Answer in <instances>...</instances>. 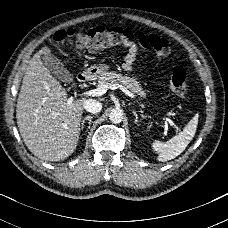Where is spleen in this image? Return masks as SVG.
Listing matches in <instances>:
<instances>
[{
  "instance_id": "obj_1",
  "label": "spleen",
  "mask_w": 228,
  "mask_h": 228,
  "mask_svg": "<svg viewBox=\"0 0 228 228\" xmlns=\"http://www.w3.org/2000/svg\"><path fill=\"white\" fill-rule=\"evenodd\" d=\"M198 124V115H194L188 124L177 135L166 142L159 140L151 144L152 151L161 162L172 160L179 156L193 140Z\"/></svg>"
}]
</instances>
